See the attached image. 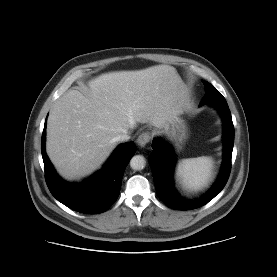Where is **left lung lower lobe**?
<instances>
[{
	"label": "left lung lower lobe",
	"mask_w": 277,
	"mask_h": 277,
	"mask_svg": "<svg viewBox=\"0 0 277 277\" xmlns=\"http://www.w3.org/2000/svg\"><path fill=\"white\" fill-rule=\"evenodd\" d=\"M221 114L224 124V160L221 172L212 189L197 200H185L176 192L173 185V170L175 165L172 147L162 138L152 142L153 151L149 156L154 183L158 197L170 208L176 210H191L199 208L211 201L224 188L230 174L231 157L234 145V126L231 112L226 100L211 103Z\"/></svg>",
	"instance_id": "left-lung-lower-lobe-1"
}]
</instances>
